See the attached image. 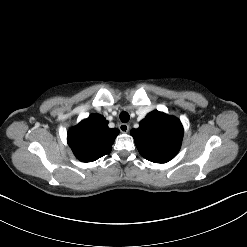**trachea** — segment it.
<instances>
[{"mask_svg":"<svg viewBox=\"0 0 247 247\" xmlns=\"http://www.w3.org/2000/svg\"><path fill=\"white\" fill-rule=\"evenodd\" d=\"M120 120L123 122V123H127L128 121H129V119H130V116H129V114L127 113V112H122V113H120Z\"/></svg>","mask_w":247,"mask_h":247,"instance_id":"1","label":"trachea"}]
</instances>
